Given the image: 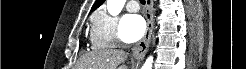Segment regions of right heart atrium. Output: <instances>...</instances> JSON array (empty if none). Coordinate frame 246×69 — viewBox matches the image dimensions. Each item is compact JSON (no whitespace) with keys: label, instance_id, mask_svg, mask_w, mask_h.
Instances as JSON below:
<instances>
[{"label":"right heart atrium","instance_id":"1","mask_svg":"<svg viewBox=\"0 0 246 69\" xmlns=\"http://www.w3.org/2000/svg\"><path fill=\"white\" fill-rule=\"evenodd\" d=\"M91 44L94 48L113 47L118 44V19L106 9H98L91 19Z\"/></svg>","mask_w":246,"mask_h":69}]
</instances>
